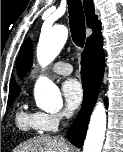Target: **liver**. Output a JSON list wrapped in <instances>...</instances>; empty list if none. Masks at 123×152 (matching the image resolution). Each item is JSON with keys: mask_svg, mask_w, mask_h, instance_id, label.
I'll return each instance as SVG.
<instances>
[{"mask_svg": "<svg viewBox=\"0 0 123 152\" xmlns=\"http://www.w3.org/2000/svg\"><path fill=\"white\" fill-rule=\"evenodd\" d=\"M14 152H70L63 139L42 135L22 143Z\"/></svg>", "mask_w": 123, "mask_h": 152, "instance_id": "1", "label": "liver"}]
</instances>
